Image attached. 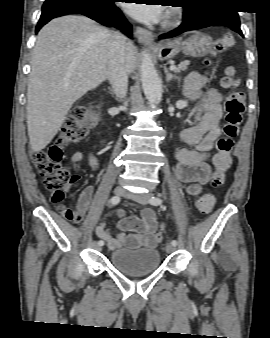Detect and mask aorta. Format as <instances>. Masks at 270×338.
<instances>
[{"label":"aorta","instance_id":"aorta-1","mask_svg":"<svg viewBox=\"0 0 270 338\" xmlns=\"http://www.w3.org/2000/svg\"><path fill=\"white\" fill-rule=\"evenodd\" d=\"M141 83L145 97L150 103L159 104L162 85L149 53L144 52L141 63Z\"/></svg>","mask_w":270,"mask_h":338}]
</instances>
